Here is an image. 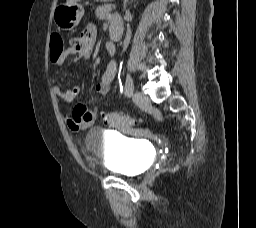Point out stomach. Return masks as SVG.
<instances>
[{"instance_id": "1", "label": "stomach", "mask_w": 256, "mask_h": 228, "mask_svg": "<svg viewBox=\"0 0 256 228\" xmlns=\"http://www.w3.org/2000/svg\"><path fill=\"white\" fill-rule=\"evenodd\" d=\"M83 14L84 9L79 3L65 4L54 10L53 19L58 28L71 30L79 24Z\"/></svg>"}]
</instances>
